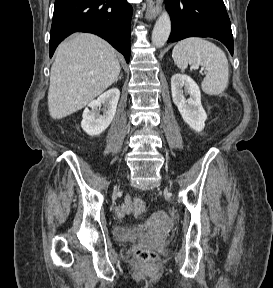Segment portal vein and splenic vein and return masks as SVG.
Here are the masks:
<instances>
[{
    "instance_id": "18ae733b",
    "label": "portal vein and splenic vein",
    "mask_w": 273,
    "mask_h": 288,
    "mask_svg": "<svg viewBox=\"0 0 273 288\" xmlns=\"http://www.w3.org/2000/svg\"><path fill=\"white\" fill-rule=\"evenodd\" d=\"M192 68H193V69H197L198 66H193ZM201 71H204V68H202Z\"/></svg>"
}]
</instances>
